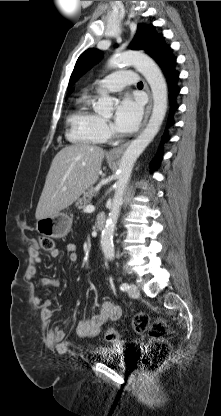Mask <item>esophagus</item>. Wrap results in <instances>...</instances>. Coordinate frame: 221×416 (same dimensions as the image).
<instances>
[{
    "label": "esophagus",
    "instance_id": "1",
    "mask_svg": "<svg viewBox=\"0 0 221 416\" xmlns=\"http://www.w3.org/2000/svg\"><path fill=\"white\" fill-rule=\"evenodd\" d=\"M144 88H145V90L148 94V104H147L146 109H145V115H144V119H143L140 131L146 125V123L148 121V118L150 116V113H151V109H152V96H151V92L149 90V87L146 83H144ZM128 145H129V141L120 145V146H118V147H115V148L111 149L108 152V156L112 157V158L120 157Z\"/></svg>",
    "mask_w": 221,
    "mask_h": 416
}]
</instances>
